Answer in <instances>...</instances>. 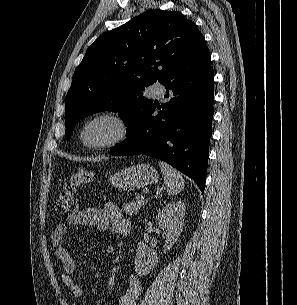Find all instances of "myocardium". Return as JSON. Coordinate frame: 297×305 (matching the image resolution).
I'll list each match as a JSON object with an SVG mask.
<instances>
[{
	"mask_svg": "<svg viewBox=\"0 0 297 305\" xmlns=\"http://www.w3.org/2000/svg\"><path fill=\"white\" fill-rule=\"evenodd\" d=\"M98 121H109L114 124L116 133L110 139L102 142H91L86 138V129L91 124ZM130 132L127 119L120 113L114 111H102L90 115L84 119L78 127V139L83 148L88 150H105L115 147L124 142Z\"/></svg>",
	"mask_w": 297,
	"mask_h": 305,
	"instance_id": "f54148a6",
	"label": "myocardium"
}]
</instances>
